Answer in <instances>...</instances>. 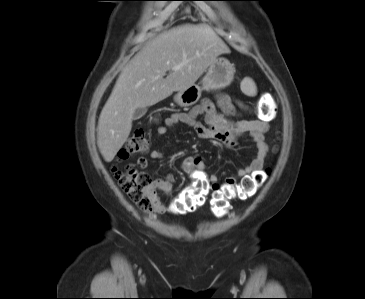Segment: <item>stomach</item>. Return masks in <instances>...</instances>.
Returning <instances> with one entry per match:
<instances>
[{"mask_svg":"<svg viewBox=\"0 0 365 299\" xmlns=\"http://www.w3.org/2000/svg\"><path fill=\"white\" fill-rule=\"evenodd\" d=\"M235 68L226 58H217L207 69L201 85H192L185 90L178 91L174 101L183 107L196 104L203 90H219L231 84L234 79Z\"/></svg>","mask_w":365,"mask_h":299,"instance_id":"obj_1","label":"stomach"}]
</instances>
